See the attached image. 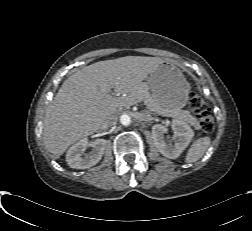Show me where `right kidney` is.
Instances as JSON below:
<instances>
[{
    "label": "right kidney",
    "instance_id": "right-kidney-1",
    "mask_svg": "<svg viewBox=\"0 0 252 231\" xmlns=\"http://www.w3.org/2000/svg\"><path fill=\"white\" fill-rule=\"evenodd\" d=\"M106 144L107 141L104 139H96L93 142H88L87 138L81 139L69 148L66 154V161L72 168H90L101 160ZM88 146L93 147L92 151L89 153H83Z\"/></svg>",
    "mask_w": 252,
    "mask_h": 231
}]
</instances>
